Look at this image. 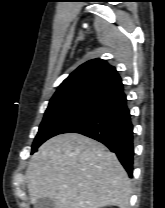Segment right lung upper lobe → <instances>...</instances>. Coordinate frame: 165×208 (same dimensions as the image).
<instances>
[{"instance_id": "1", "label": "right lung upper lobe", "mask_w": 165, "mask_h": 208, "mask_svg": "<svg viewBox=\"0 0 165 208\" xmlns=\"http://www.w3.org/2000/svg\"><path fill=\"white\" fill-rule=\"evenodd\" d=\"M122 91L123 84L115 68L105 60L93 59L79 66L61 83L49 106H95Z\"/></svg>"}]
</instances>
